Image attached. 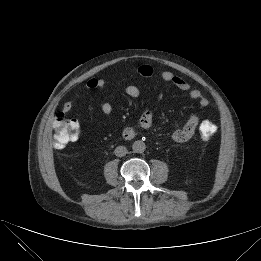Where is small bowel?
<instances>
[{
	"label": "small bowel",
	"instance_id": "small-bowel-1",
	"mask_svg": "<svg viewBox=\"0 0 261 261\" xmlns=\"http://www.w3.org/2000/svg\"><path fill=\"white\" fill-rule=\"evenodd\" d=\"M137 71L141 76L144 77H149L153 74V68L146 64L139 66ZM160 76L163 81L174 84L178 89L182 91H188L190 98L197 101L201 107L208 106L209 104L208 99L202 95L200 90L191 89L190 84L184 78L170 71H163ZM105 84L106 81L104 78L93 77L86 82V87L88 89H100L103 88ZM125 92L128 96L132 98H138L140 96L139 88L134 85L126 86ZM72 108H73L72 101L65 102L62 109L63 114L70 112ZM100 109L103 114L110 115L112 112V105L108 102H105L101 105ZM152 123H153L152 111L146 108L142 112V115L139 119V127L141 130L146 131L151 128ZM201 123L202 122H200V118L198 115L191 116L182 127L172 132L171 134L172 140L178 143L189 140L195 134L196 129L198 127L200 128ZM76 124L79 129V124L77 121ZM138 133L139 131L132 126L126 127L122 131L123 137L127 140L135 138L138 135Z\"/></svg>",
	"mask_w": 261,
	"mask_h": 261
}]
</instances>
